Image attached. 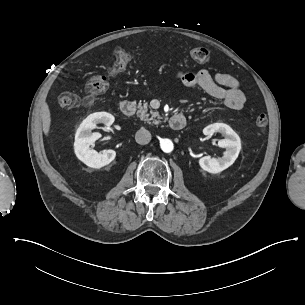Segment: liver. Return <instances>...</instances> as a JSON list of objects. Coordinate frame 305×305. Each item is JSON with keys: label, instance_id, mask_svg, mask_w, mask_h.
<instances>
[{"label": "liver", "instance_id": "liver-1", "mask_svg": "<svg viewBox=\"0 0 305 305\" xmlns=\"http://www.w3.org/2000/svg\"><path fill=\"white\" fill-rule=\"evenodd\" d=\"M42 121H43V131L47 135L50 128L51 118H50V111L46 103H44L42 107Z\"/></svg>", "mask_w": 305, "mask_h": 305}]
</instances>
